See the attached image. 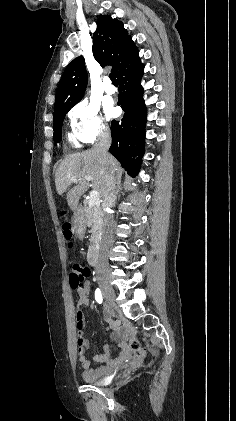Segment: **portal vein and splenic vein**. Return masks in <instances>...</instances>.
Returning a JSON list of instances; mask_svg holds the SVG:
<instances>
[{"instance_id": "obj_1", "label": "portal vein and splenic vein", "mask_w": 236, "mask_h": 421, "mask_svg": "<svg viewBox=\"0 0 236 421\" xmlns=\"http://www.w3.org/2000/svg\"><path fill=\"white\" fill-rule=\"evenodd\" d=\"M84 178H85V180H92L91 174H86V176H84ZM70 180H73V182H75V180H77V178H75V176H72V178H70ZM89 204H91V206H95V204H100V198H99L98 190H91L90 198H89Z\"/></svg>"}]
</instances>
